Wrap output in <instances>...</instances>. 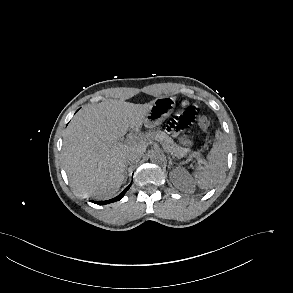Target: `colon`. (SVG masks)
Here are the masks:
<instances>
[{"label": "colon", "instance_id": "1", "mask_svg": "<svg viewBox=\"0 0 293 293\" xmlns=\"http://www.w3.org/2000/svg\"><path fill=\"white\" fill-rule=\"evenodd\" d=\"M186 108L182 114L172 119L167 125L168 132L178 135L182 133L195 119L198 120L199 126L204 132L209 130L210 123L208 119L199 111L197 104H187L182 102Z\"/></svg>", "mask_w": 293, "mask_h": 293}]
</instances>
